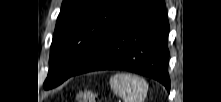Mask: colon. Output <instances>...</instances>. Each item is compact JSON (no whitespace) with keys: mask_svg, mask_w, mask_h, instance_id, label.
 I'll return each mask as SVG.
<instances>
[{"mask_svg":"<svg viewBox=\"0 0 221 102\" xmlns=\"http://www.w3.org/2000/svg\"><path fill=\"white\" fill-rule=\"evenodd\" d=\"M77 102H99L98 96L91 90L79 91L76 96Z\"/></svg>","mask_w":221,"mask_h":102,"instance_id":"colon-1","label":"colon"}]
</instances>
